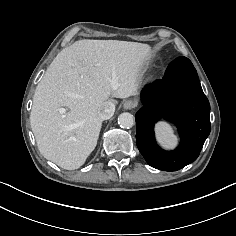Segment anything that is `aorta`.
Here are the masks:
<instances>
[{
  "label": "aorta",
  "mask_w": 236,
  "mask_h": 236,
  "mask_svg": "<svg viewBox=\"0 0 236 236\" xmlns=\"http://www.w3.org/2000/svg\"><path fill=\"white\" fill-rule=\"evenodd\" d=\"M135 123V119L131 113L124 112L118 117V124L122 128H131Z\"/></svg>",
  "instance_id": "1"
}]
</instances>
